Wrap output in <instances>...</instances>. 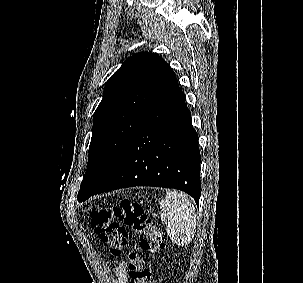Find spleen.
I'll use <instances>...</instances> for the list:
<instances>
[{
	"label": "spleen",
	"instance_id": "obj_1",
	"mask_svg": "<svg viewBox=\"0 0 303 283\" xmlns=\"http://www.w3.org/2000/svg\"><path fill=\"white\" fill-rule=\"evenodd\" d=\"M160 217L166 224V232L178 246L191 242L196 231L197 215L191 200L183 193L168 190L160 202Z\"/></svg>",
	"mask_w": 303,
	"mask_h": 283
}]
</instances>
